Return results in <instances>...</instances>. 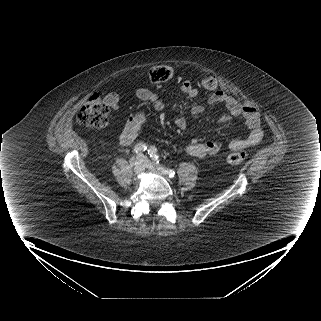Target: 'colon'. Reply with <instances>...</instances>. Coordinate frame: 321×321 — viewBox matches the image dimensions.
Masks as SVG:
<instances>
[{
    "label": "colon",
    "instance_id": "colon-1",
    "mask_svg": "<svg viewBox=\"0 0 321 321\" xmlns=\"http://www.w3.org/2000/svg\"><path fill=\"white\" fill-rule=\"evenodd\" d=\"M173 76V70L166 65H159L149 71L150 79L155 83L169 81ZM206 90L213 91L218 86L216 77H208L202 81ZM110 107L99 95H92L80 108L77 114L79 124L86 127H103L107 124ZM248 157L246 151H235L228 154L225 161L228 165L242 164Z\"/></svg>",
    "mask_w": 321,
    "mask_h": 321
}]
</instances>
